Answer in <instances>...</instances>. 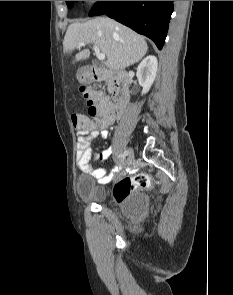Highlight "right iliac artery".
<instances>
[{"label":"right iliac artery","instance_id":"1","mask_svg":"<svg viewBox=\"0 0 233 295\" xmlns=\"http://www.w3.org/2000/svg\"><path fill=\"white\" fill-rule=\"evenodd\" d=\"M128 155V150L124 151V156Z\"/></svg>","mask_w":233,"mask_h":295}]
</instances>
